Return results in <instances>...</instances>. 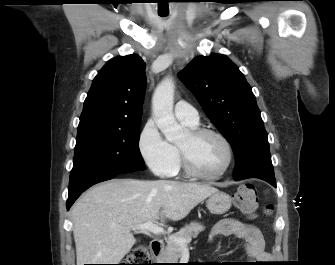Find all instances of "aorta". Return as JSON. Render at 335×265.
<instances>
[{"label":"aorta","mask_w":335,"mask_h":265,"mask_svg":"<svg viewBox=\"0 0 335 265\" xmlns=\"http://www.w3.org/2000/svg\"><path fill=\"white\" fill-rule=\"evenodd\" d=\"M174 83L164 79L156 88L152 98L154 120L169 142H175L183 136V129L173 113Z\"/></svg>","instance_id":"aorta-1"}]
</instances>
